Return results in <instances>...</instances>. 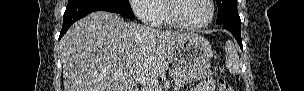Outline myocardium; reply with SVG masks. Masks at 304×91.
<instances>
[{
    "mask_svg": "<svg viewBox=\"0 0 304 91\" xmlns=\"http://www.w3.org/2000/svg\"><path fill=\"white\" fill-rule=\"evenodd\" d=\"M182 0H170L167 5V14L171 23L177 28L187 29V30H197L207 27L213 21L215 17V5L213 0H207L210 6V15L208 19L199 24H188L184 22L178 15V4Z\"/></svg>",
    "mask_w": 304,
    "mask_h": 91,
    "instance_id": "myocardium-1",
    "label": "myocardium"
}]
</instances>
